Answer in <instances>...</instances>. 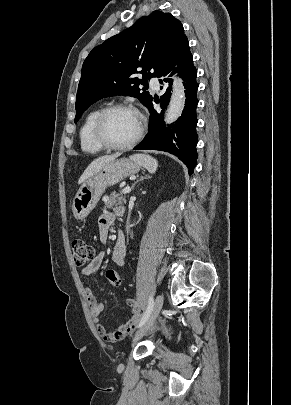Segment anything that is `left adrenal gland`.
<instances>
[{"label": "left adrenal gland", "mask_w": 291, "mask_h": 405, "mask_svg": "<svg viewBox=\"0 0 291 405\" xmlns=\"http://www.w3.org/2000/svg\"><path fill=\"white\" fill-rule=\"evenodd\" d=\"M147 178H150V176H141L140 178H139V180H137L133 185H132V190L134 189V187H135V185L138 183V182H140V181H142V180H144V179H147Z\"/></svg>", "instance_id": "left-adrenal-gland-1"}]
</instances>
